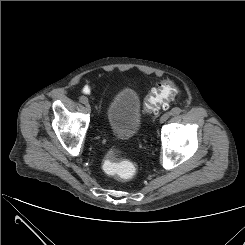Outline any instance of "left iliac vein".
<instances>
[{"label": "left iliac vein", "mask_w": 245, "mask_h": 245, "mask_svg": "<svg viewBox=\"0 0 245 245\" xmlns=\"http://www.w3.org/2000/svg\"><path fill=\"white\" fill-rule=\"evenodd\" d=\"M171 114L168 112V113H165L161 116L160 118V123H164L166 122L169 118H170Z\"/></svg>", "instance_id": "4c4485c4"}]
</instances>
